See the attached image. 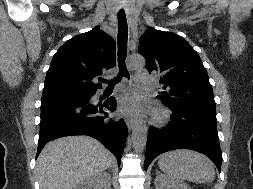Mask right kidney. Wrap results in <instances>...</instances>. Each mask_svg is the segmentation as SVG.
Wrapping results in <instances>:
<instances>
[{
  "label": "right kidney",
  "mask_w": 253,
  "mask_h": 189,
  "mask_svg": "<svg viewBox=\"0 0 253 189\" xmlns=\"http://www.w3.org/2000/svg\"><path fill=\"white\" fill-rule=\"evenodd\" d=\"M110 184V174L103 172L81 182L76 189H110Z\"/></svg>",
  "instance_id": "right-kidney-1"
}]
</instances>
